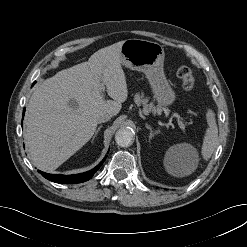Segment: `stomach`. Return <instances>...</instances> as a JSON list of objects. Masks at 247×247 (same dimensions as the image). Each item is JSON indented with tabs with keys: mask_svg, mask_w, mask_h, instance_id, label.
<instances>
[{
	"mask_svg": "<svg viewBox=\"0 0 247 247\" xmlns=\"http://www.w3.org/2000/svg\"><path fill=\"white\" fill-rule=\"evenodd\" d=\"M164 56V48L157 42L133 38L125 40L121 46L122 65L146 75L159 111L166 109L176 99L163 71Z\"/></svg>",
	"mask_w": 247,
	"mask_h": 247,
	"instance_id": "1",
	"label": "stomach"
}]
</instances>
